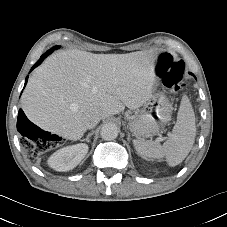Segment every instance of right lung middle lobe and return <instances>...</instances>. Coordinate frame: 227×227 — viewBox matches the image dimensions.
Returning a JSON list of instances; mask_svg holds the SVG:
<instances>
[{
    "label": "right lung middle lobe",
    "instance_id": "dd1d6c3e",
    "mask_svg": "<svg viewBox=\"0 0 227 227\" xmlns=\"http://www.w3.org/2000/svg\"><path fill=\"white\" fill-rule=\"evenodd\" d=\"M54 48H55V49H57V48H58V46H55Z\"/></svg>",
    "mask_w": 227,
    "mask_h": 227
}]
</instances>
